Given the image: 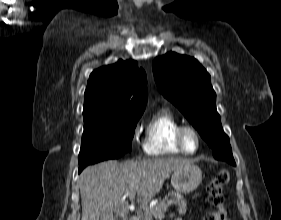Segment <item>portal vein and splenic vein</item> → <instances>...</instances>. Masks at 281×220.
<instances>
[{
    "label": "portal vein and splenic vein",
    "mask_w": 281,
    "mask_h": 220,
    "mask_svg": "<svg viewBox=\"0 0 281 220\" xmlns=\"http://www.w3.org/2000/svg\"><path fill=\"white\" fill-rule=\"evenodd\" d=\"M135 192H128L125 194V196H129L130 198H134L135 197ZM173 203V200H168L166 201L164 204H163V208H162V211L159 212V213H156L159 217H164V213L166 212V210L168 209V207H170ZM142 209L146 212H153V209H149V207L147 206H142Z\"/></svg>",
    "instance_id": "18ae733b"
}]
</instances>
